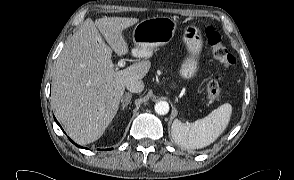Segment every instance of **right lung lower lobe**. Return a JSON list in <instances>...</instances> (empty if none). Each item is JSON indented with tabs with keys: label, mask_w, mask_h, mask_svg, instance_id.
Segmentation results:
<instances>
[{
	"label": "right lung lower lobe",
	"mask_w": 294,
	"mask_h": 180,
	"mask_svg": "<svg viewBox=\"0 0 294 180\" xmlns=\"http://www.w3.org/2000/svg\"><path fill=\"white\" fill-rule=\"evenodd\" d=\"M55 119V118H54ZM56 123L60 126V124L58 123V121L55 119ZM61 127V126H60ZM74 143V142H73ZM75 144V143H74ZM76 145V144H75ZM78 146V145H77ZM81 147V146H78Z\"/></svg>",
	"instance_id": "1"
}]
</instances>
